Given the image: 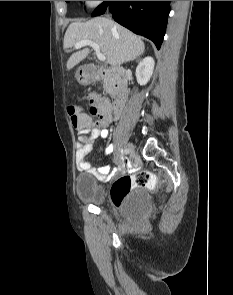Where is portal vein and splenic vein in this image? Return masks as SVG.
Returning a JSON list of instances; mask_svg holds the SVG:
<instances>
[{"instance_id": "obj_1", "label": "portal vein and splenic vein", "mask_w": 233, "mask_h": 295, "mask_svg": "<svg viewBox=\"0 0 233 295\" xmlns=\"http://www.w3.org/2000/svg\"><path fill=\"white\" fill-rule=\"evenodd\" d=\"M91 46L93 48V50L95 51V54L97 56V58L100 60V61H105L106 60V56L100 52V47L97 43H95L94 41L92 40H82L78 43L75 44V48L76 49H79L81 47H84V46Z\"/></svg>"}]
</instances>
